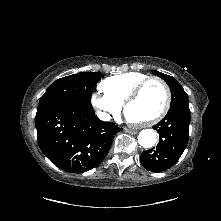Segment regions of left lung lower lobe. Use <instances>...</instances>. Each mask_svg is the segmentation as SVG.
I'll use <instances>...</instances> for the list:
<instances>
[{"mask_svg":"<svg viewBox=\"0 0 221 221\" xmlns=\"http://www.w3.org/2000/svg\"><path fill=\"white\" fill-rule=\"evenodd\" d=\"M190 109L188 105L170 107L166 116L156 125L160 135L156 148L144 151L140 161L151 172L171 168L184 152L189 138Z\"/></svg>","mask_w":221,"mask_h":221,"instance_id":"obj_1","label":"left lung lower lobe"}]
</instances>
